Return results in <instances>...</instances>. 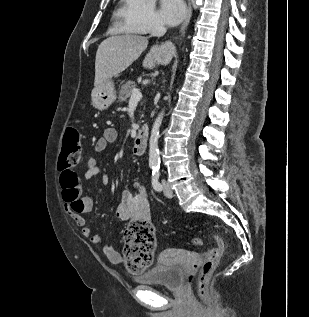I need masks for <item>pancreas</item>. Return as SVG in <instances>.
I'll use <instances>...</instances> for the list:
<instances>
[{"label":"pancreas","instance_id":"obj_1","mask_svg":"<svg viewBox=\"0 0 309 317\" xmlns=\"http://www.w3.org/2000/svg\"><path fill=\"white\" fill-rule=\"evenodd\" d=\"M134 87L135 85L133 81H127L125 84H123L119 91L118 101L120 103L126 102L128 97L132 94Z\"/></svg>","mask_w":309,"mask_h":317}]
</instances>
